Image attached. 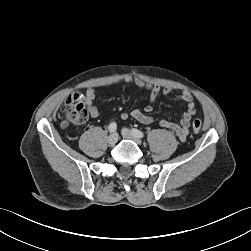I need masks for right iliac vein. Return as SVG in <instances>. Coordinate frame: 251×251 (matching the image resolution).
<instances>
[{
  "label": "right iliac vein",
  "mask_w": 251,
  "mask_h": 251,
  "mask_svg": "<svg viewBox=\"0 0 251 251\" xmlns=\"http://www.w3.org/2000/svg\"><path fill=\"white\" fill-rule=\"evenodd\" d=\"M118 141V134L117 133H112L108 137V143L111 145L116 144Z\"/></svg>",
  "instance_id": "1"
}]
</instances>
